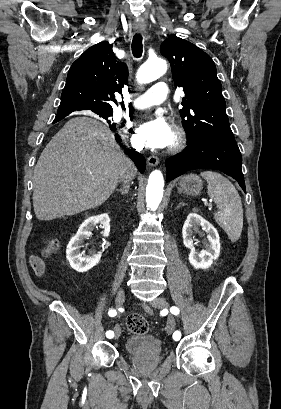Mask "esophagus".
Segmentation results:
<instances>
[{
	"instance_id": "1",
	"label": "esophagus",
	"mask_w": 281,
	"mask_h": 409,
	"mask_svg": "<svg viewBox=\"0 0 281 409\" xmlns=\"http://www.w3.org/2000/svg\"><path fill=\"white\" fill-rule=\"evenodd\" d=\"M158 163H159V159H158V157H156L155 155H151V156L148 158V164H149L151 167H156V166L158 165Z\"/></svg>"
}]
</instances>
